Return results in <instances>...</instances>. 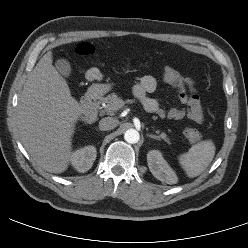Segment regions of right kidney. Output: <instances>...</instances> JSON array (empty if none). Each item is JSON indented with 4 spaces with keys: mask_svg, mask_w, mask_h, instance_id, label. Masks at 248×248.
Listing matches in <instances>:
<instances>
[{
    "mask_svg": "<svg viewBox=\"0 0 248 248\" xmlns=\"http://www.w3.org/2000/svg\"><path fill=\"white\" fill-rule=\"evenodd\" d=\"M96 154L97 151L94 146H85L71 154L70 162L75 170L84 173L92 167Z\"/></svg>",
    "mask_w": 248,
    "mask_h": 248,
    "instance_id": "obj_1",
    "label": "right kidney"
}]
</instances>
